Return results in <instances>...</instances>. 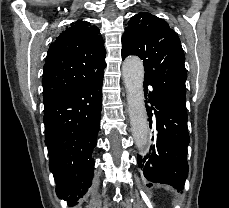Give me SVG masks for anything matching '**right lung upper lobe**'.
<instances>
[{"label":"right lung upper lobe","mask_w":229,"mask_h":208,"mask_svg":"<svg viewBox=\"0 0 229 208\" xmlns=\"http://www.w3.org/2000/svg\"><path fill=\"white\" fill-rule=\"evenodd\" d=\"M105 55L99 28L83 20L71 23L48 50L42 79L44 104L98 76L106 67Z\"/></svg>","instance_id":"right-lung-upper-lobe-1"}]
</instances>
